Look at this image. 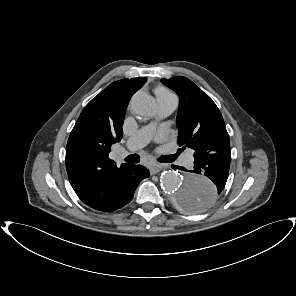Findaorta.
Here are the masks:
<instances>
[{
    "instance_id": "1",
    "label": "aorta",
    "mask_w": 296,
    "mask_h": 296,
    "mask_svg": "<svg viewBox=\"0 0 296 296\" xmlns=\"http://www.w3.org/2000/svg\"><path fill=\"white\" fill-rule=\"evenodd\" d=\"M132 111L140 117H148L153 108L151 96L139 91L130 101ZM165 197L174 207L188 213H202L212 209L219 196L215 181L191 171H165L161 179Z\"/></svg>"
}]
</instances>
